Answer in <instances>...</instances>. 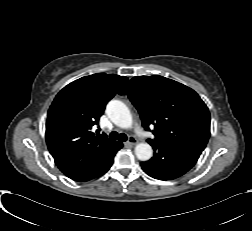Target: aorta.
<instances>
[{"mask_svg":"<svg viewBox=\"0 0 252 231\" xmlns=\"http://www.w3.org/2000/svg\"><path fill=\"white\" fill-rule=\"evenodd\" d=\"M106 113L116 126L123 129L132 127V115L129 108L122 101L111 100L107 104ZM135 155L139 160L147 161L152 157L153 149L148 143H139L135 147Z\"/></svg>","mask_w":252,"mask_h":231,"instance_id":"aorta-1","label":"aorta"}]
</instances>
